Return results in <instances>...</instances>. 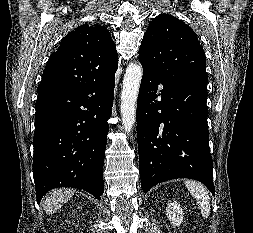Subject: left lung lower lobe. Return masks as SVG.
<instances>
[{"instance_id":"0a47b994","label":"left lung lower lobe","mask_w":253,"mask_h":233,"mask_svg":"<svg viewBox=\"0 0 253 233\" xmlns=\"http://www.w3.org/2000/svg\"><path fill=\"white\" fill-rule=\"evenodd\" d=\"M139 60L143 77L137 102V141L142 190L147 192L170 179L189 178L215 194L206 84L173 85ZM158 85L163 88L158 90Z\"/></svg>"}]
</instances>
